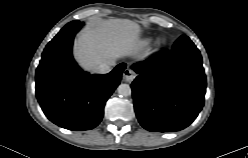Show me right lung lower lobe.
<instances>
[{
  "label": "right lung lower lobe",
  "mask_w": 248,
  "mask_h": 158,
  "mask_svg": "<svg viewBox=\"0 0 248 158\" xmlns=\"http://www.w3.org/2000/svg\"><path fill=\"white\" fill-rule=\"evenodd\" d=\"M80 26V22L66 25L44 49L36 70V96L49 120L81 131L100 123L126 64L104 75L83 72L72 57L73 39Z\"/></svg>",
  "instance_id": "1"
}]
</instances>
